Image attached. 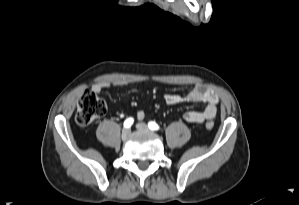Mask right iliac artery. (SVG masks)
<instances>
[{"instance_id": "obj_1", "label": "right iliac artery", "mask_w": 299, "mask_h": 205, "mask_svg": "<svg viewBox=\"0 0 299 205\" xmlns=\"http://www.w3.org/2000/svg\"><path fill=\"white\" fill-rule=\"evenodd\" d=\"M133 122H134V119H133V118H128V119H126L125 122H124V127H125V128H130L131 125L133 124Z\"/></svg>"}]
</instances>
